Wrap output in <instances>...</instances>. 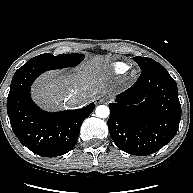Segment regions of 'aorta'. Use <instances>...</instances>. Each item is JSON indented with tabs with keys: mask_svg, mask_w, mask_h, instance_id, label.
Masks as SVG:
<instances>
[{
	"mask_svg": "<svg viewBox=\"0 0 193 193\" xmlns=\"http://www.w3.org/2000/svg\"><path fill=\"white\" fill-rule=\"evenodd\" d=\"M96 115L99 118H107L110 114V110L106 105H99L96 108Z\"/></svg>",
	"mask_w": 193,
	"mask_h": 193,
	"instance_id": "762f6f07",
	"label": "aorta"
}]
</instances>
